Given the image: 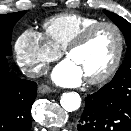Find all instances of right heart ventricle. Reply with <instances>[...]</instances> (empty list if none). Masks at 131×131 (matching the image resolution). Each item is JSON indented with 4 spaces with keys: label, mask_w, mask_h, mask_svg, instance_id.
<instances>
[{
    "label": "right heart ventricle",
    "mask_w": 131,
    "mask_h": 131,
    "mask_svg": "<svg viewBox=\"0 0 131 131\" xmlns=\"http://www.w3.org/2000/svg\"><path fill=\"white\" fill-rule=\"evenodd\" d=\"M98 22H100L99 19L91 16L64 13L47 19L43 28L47 40L62 52L85 28Z\"/></svg>",
    "instance_id": "obj_1"
}]
</instances>
